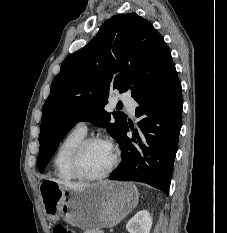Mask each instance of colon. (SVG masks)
<instances>
[{
  "mask_svg": "<svg viewBox=\"0 0 227 233\" xmlns=\"http://www.w3.org/2000/svg\"><path fill=\"white\" fill-rule=\"evenodd\" d=\"M53 233H75L72 229L58 225L53 229Z\"/></svg>",
  "mask_w": 227,
  "mask_h": 233,
  "instance_id": "1",
  "label": "colon"
}]
</instances>
